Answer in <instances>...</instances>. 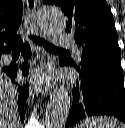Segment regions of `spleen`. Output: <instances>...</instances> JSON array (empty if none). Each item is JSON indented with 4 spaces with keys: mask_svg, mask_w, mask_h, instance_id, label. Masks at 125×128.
I'll use <instances>...</instances> for the list:
<instances>
[{
    "mask_svg": "<svg viewBox=\"0 0 125 128\" xmlns=\"http://www.w3.org/2000/svg\"><path fill=\"white\" fill-rule=\"evenodd\" d=\"M78 128H125V125L118 119L104 116L86 118Z\"/></svg>",
    "mask_w": 125,
    "mask_h": 128,
    "instance_id": "obj_1",
    "label": "spleen"
}]
</instances>
